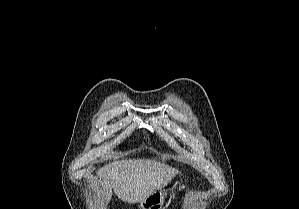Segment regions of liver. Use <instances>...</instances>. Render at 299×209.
I'll list each match as a JSON object with an SVG mask.
<instances>
[{"mask_svg": "<svg viewBox=\"0 0 299 209\" xmlns=\"http://www.w3.org/2000/svg\"><path fill=\"white\" fill-rule=\"evenodd\" d=\"M178 171L157 160H122L99 170L98 193L108 204L112 189L124 202L140 203L155 190L164 188Z\"/></svg>", "mask_w": 299, "mask_h": 209, "instance_id": "liver-1", "label": "liver"}]
</instances>
